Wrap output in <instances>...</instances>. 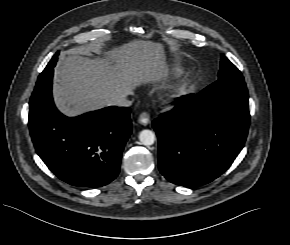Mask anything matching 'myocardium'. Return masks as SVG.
Wrapping results in <instances>:
<instances>
[{"label":"myocardium","mask_w":290,"mask_h":245,"mask_svg":"<svg viewBox=\"0 0 290 245\" xmlns=\"http://www.w3.org/2000/svg\"><path fill=\"white\" fill-rule=\"evenodd\" d=\"M176 93H177V89H173V90H171V95H172V96H175Z\"/></svg>","instance_id":"1"}]
</instances>
